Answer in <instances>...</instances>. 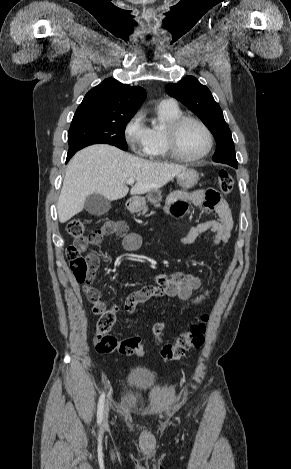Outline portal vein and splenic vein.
<instances>
[{
	"instance_id": "18ae733b",
	"label": "portal vein and splenic vein",
	"mask_w": 291,
	"mask_h": 469,
	"mask_svg": "<svg viewBox=\"0 0 291 469\" xmlns=\"http://www.w3.org/2000/svg\"><path fill=\"white\" fill-rule=\"evenodd\" d=\"M127 184L132 185L134 184V179H129L126 181Z\"/></svg>"
}]
</instances>
